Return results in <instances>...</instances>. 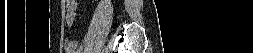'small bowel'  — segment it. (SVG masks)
<instances>
[{"mask_svg":"<svg viewBox=\"0 0 253 53\" xmlns=\"http://www.w3.org/2000/svg\"><path fill=\"white\" fill-rule=\"evenodd\" d=\"M76 2L77 1L75 0L68 1L70 6H75ZM74 16H75V13L72 10V7H70L69 12L66 17L68 25H70L73 22ZM64 48H65V51L68 53H81V47L79 43L74 40H66L64 43Z\"/></svg>","mask_w":253,"mask_h":53,"instance_id":"1","label":"small bowel"}]
</instances>
